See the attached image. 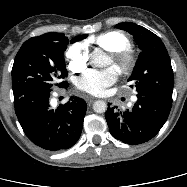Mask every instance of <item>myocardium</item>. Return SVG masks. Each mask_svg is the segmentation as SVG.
I'll return each mask as SVG.
<instances>
[{"instance_id":"myocardium-1","label":"myocardium","mask_w":187,"mask_h":187,"mask_svg":"<svg viewBox=\"0 0 187 187\" xmlns=\"http://www.w3.org/2000/svg\"><path fill=\"white\" fill-rule=\"evenodd\" d=\"M111 58L118 70L124 74L130 73L136 63L135 57L130 50L111 52Z\"/></svg>"}]
</instances>
